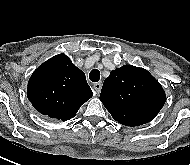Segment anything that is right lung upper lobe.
I'll use <instances>...</instances> for the list:
<instances>
[{"label":"right lung upper lobe","instance_id":"right-lung-upper-lobe-1","mask_svg":"<svg viewBox=\"0 0 190 165\" xmlns=\"http://www.w3.org/2000/svg\"><path fill=\"white\" fill-rule=\"evenodd\" d=\"M92 95L84 72L65 54L41 64L27 87L28 99L38 112L62 121L73 118Z\"/></svg>","mask_w":190,"mask_h":165}]
</instances>
